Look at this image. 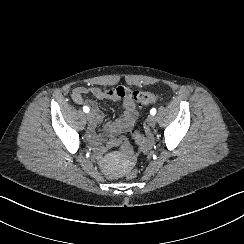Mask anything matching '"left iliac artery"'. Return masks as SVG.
<instances>
[{
    "instance_id": "1",
    "label": "left iliac artery",
    "mask_w": 244,
    "mask_h": 244,
    "mask_svg": "<svg viewBox=\"0 0 244 244\" xmlns=\"http://www.w3.org/2000/svg\"><path fill=\"white\" fill-rule=\"evenodd\" d=\"M150 114H151V115H155V114H156V109H155V108H152V109L150 110Z\"/></svg>"
}]
</instances>
